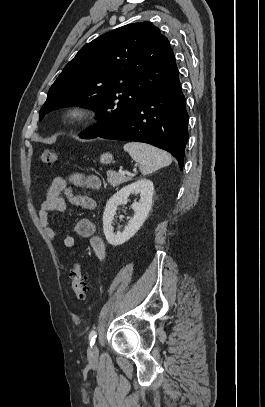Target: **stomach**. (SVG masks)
<instances>
[{"label":"stomach","instance_id":"1","mask_svg":"<svg viewBox=\"0 0 265 407\" xmlns=\"http://www.w3.org/2000/svg\"><path fill=\"white\" fill-rule=\"evenodd\" d=\"M113 160V156L110 153H103L100 157L101 164H110Z\"/></svg>","mask_w":265,"mask_h":407}]
</instances>
